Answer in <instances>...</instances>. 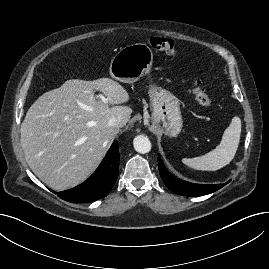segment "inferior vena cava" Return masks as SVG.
Listing matches in <instances>:
<instances>
[{
  "mask_svg": "<svg viewBox=\"0 0 269 269\" xmlns=\"http://www.w3.org/2000/svg\"><path fill=\"white\" fill-rule=\"evenodd\" d=\"M120 125H121V118L120 117H112L108 121V126H110V127H118Z\"/></svg>",
  "mask_w": 269,
  "mask_h": 269,
  "instance_id": "obj_1",
  "label": "inferior vena cava"
}]
</instances>
